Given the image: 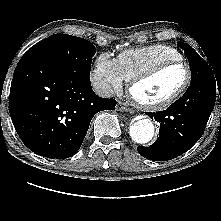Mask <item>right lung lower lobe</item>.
<instances>
[{
  "instance_id": "1",
  "label": "right lung lower lobe",
  "mask_w": 221,
  "mask_h": 221,
  "mask_svg": "<svg viewBox=\"0 0 221 221\" xmlns=\"http://www.w3.org/2000/svg\"><path fill=\"white\" fill-rule=\"evenodd\" d=\"M115 105L95 94L88 75L39 54L26 52L14 71L9 112L22 142L40 156H73L93 116Z\"/></svg>"
}]
</instances>
